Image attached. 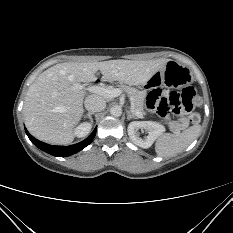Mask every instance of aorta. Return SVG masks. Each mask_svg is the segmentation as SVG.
Segmentation results:
<instances>
[{
    "label": "aorta",
    "instance_id": "obj_1",
    "mask_svg": "<svg viewBox=\"0 0 233 233\" xmlns=\"http://www.w3.org/2000/svg\"><path fill=\"white\" fill-rule=\"evenodd\" d=\"M110 114L114 117H119L122 114V108L120 106H113L110 109Z\"/></svg>",
    "mask_w": 233,
    "mask_h": 233
}]
</instances>
